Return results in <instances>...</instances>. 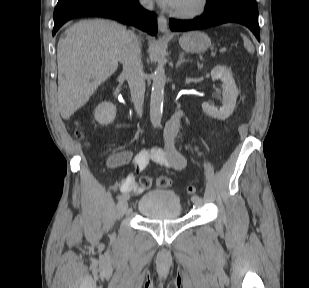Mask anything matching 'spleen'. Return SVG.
<instances>
[{"mask_svg":"<svg viewBox=\"0 0 309 288\" xmlns=\"http://www.w3.org/2000/svg\"><path fill=\"white\" fill-rule=\"evenodd\" d=\"M243 40H244V46L245 48L251 52L254 53V46L252 45V43L249 41V39H247V37L243 36Z\"/></svg>","mask_w":309,"mask_h":288,"instance_id":"1","label":"spleen"}]
</instances>
